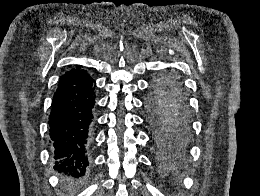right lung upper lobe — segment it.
Segmentation results:
<instances>
[{"label": "right lung upper lobe", "instance_id": "obj_1", "mask_svg": "<svg viewBox=\"0 0 260 196\" xmlns=\"http://www.w3.org/2000/svg\"><path fill=\"white\" fill-rule=\"evenodd\" d=\"M79 70H80V66H77V68H74V69H72V70L66 72L64 75H69V74H72V73L77 72V71H79Z\"/></svg>", "mask_w": 260, "mask_h": 196}]
</instances>
